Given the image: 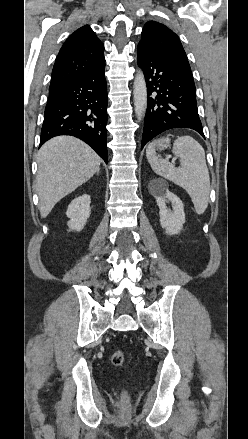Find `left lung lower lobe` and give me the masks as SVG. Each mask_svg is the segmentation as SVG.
<instances>
[{"label":"left lung lower lobe","instance_id":"0a47b994","mask_svg":"<svg viewBox=\"0 0 248 439\" xmlns=\"http://www.w3.org/2000/svg\"><path fill=\"white\" fill-rule=\"evenodd\" d=\"M137 50V62L144 72L148 94L141 148L172 128H190L204 137L191 69L140 45Z\"/></svg>","mask_w":248,"mask_h":439}]
</instances>
